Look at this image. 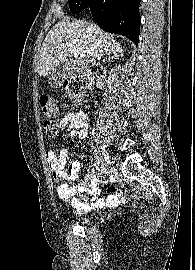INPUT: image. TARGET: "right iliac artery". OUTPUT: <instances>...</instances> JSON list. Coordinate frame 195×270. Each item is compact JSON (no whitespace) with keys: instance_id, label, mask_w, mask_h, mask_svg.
<instances>
[{"instance_id":"1","label":"right iliac artery","mask_w":195,"mask_h":270,"mask_svg":"<svg viewBox=\"0 0 195 270\" xmlns=\"http://www.w3.org/2000/svg\"><path fill=\"white\" fill-rule=\"evenodd\" d=\"M99 163H100L99 158H98V156H96L95 163H94L95 169H98ZM93 172H94V169H93Z\"/></svg>"}]
</instances>
